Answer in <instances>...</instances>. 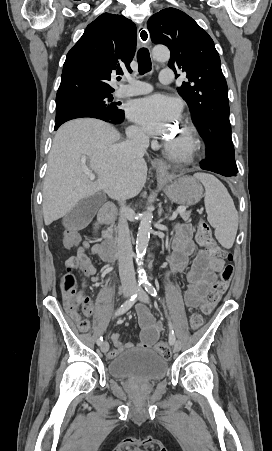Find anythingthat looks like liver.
Here are the masks:
<instances>
[{"label": "liver", "instance_id": "6515ba94", "mask_svg": "<svg viewBox=\"0 0 272 451\" xmlns=\"http://www.w3.org/2000/svg\"><path fill=\"white\" fill-rule=\"evenodd\" d=\"M120 134L106 122L79 118L63 124L56 132L48 158L43 186L45 226L66 216L74 206L103 190L113 200H129L140 194L147 178V164L134 158L123 166L115 142ZM88 158L91 172L98 178L91 182L82 168Z\"/></svg>", "mask_w": 272, "mask_h": 451}]
</instances>
